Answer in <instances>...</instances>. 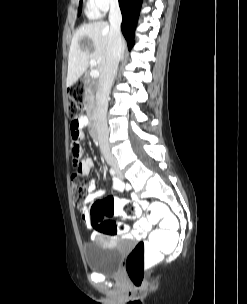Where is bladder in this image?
<instances>
[{
	"mask_svg": "<svg viewBox=\"0 0 247 304\" xmlns=\"http://www.w3.org/2000/svg\"><path fill=\"white\" fill-rule=\"evenodd\" d=\"M84 257L89 270L115 274L123 257V248L117 241L99 238L85 246Z\"/></svg>",
	"mask_w": 247,
	"mask_h": 304,
	"instance_id": "31cf9c89",
	"label": "bladder"
}]
</instances>
